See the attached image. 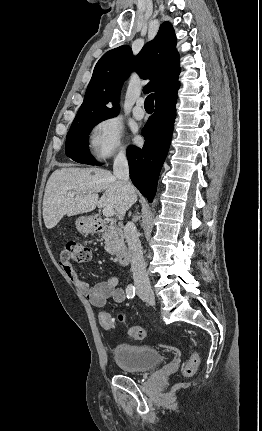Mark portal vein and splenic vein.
Returning a JSON list of instances; mask_svg holds the SVG:
<instances>
[{
  "label": "portal vein and splenic vein",
  "instance_id": "obj_1",
  "mask_svg": "<svg viewBox=\"0 0 262 431\" xmlns=\"http://www.w3.org/2000/svg\"><path fill=\"white\" fill-rule=\"evenodd\" d=\"M70 195L74 196L75 192H70ZM114 214H115V211L112 207H107L103 209V215L106 217H112L114 216Z\"/></svg>",
  "mask_w": 262,
  "mask_h": 431
}]
</instances>
